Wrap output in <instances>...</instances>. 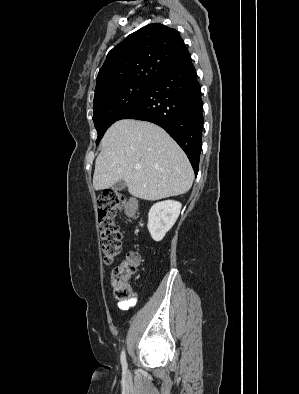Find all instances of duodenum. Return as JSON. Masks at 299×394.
Instances as JSON below:
<instances>
[{"instance_id":"410a0bca","label":"duodenum","mask_w":299,"mask_h":394,"mask_svg":"<svg viewBox=\"0 0 299 394\" xmlns=\"http://www.w3.org/2000/svg\"><path fill=\"white\" fill-rule=\"evenodd\" d=\"M135 207H136L135 203H132V204L130 205V207H129L130 211H134V210H135Z\"/></svg>"}]
</instances>
